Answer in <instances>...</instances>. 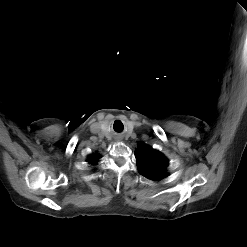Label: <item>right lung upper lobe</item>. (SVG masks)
<instances>
[{
	"mask_svg": "<svg viewBox=\"0 0 247 247\" xmlns=\"http://www.w3.org/2000/svg\"><path fill=\"white\" fill-rule=\"evenodd\" d=\"M98 159H99V155L96 154L95 156H91V157L88 159V161L94 163V162H96Z\"/></svg>",
	"mask_w": 247,
	"mask_h": 247,
	"instance_id": "1",
	"label": "right lung upper lobe"
}]
</instances>
